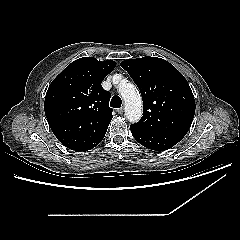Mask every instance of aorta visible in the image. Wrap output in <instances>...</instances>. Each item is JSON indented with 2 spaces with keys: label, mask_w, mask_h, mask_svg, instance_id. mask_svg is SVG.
Wrapping results in <instances>:
<instances>
[{
  "label": "aorta",
  "mask_w": 240,
  "mask_h": 240,
  "mask_svg": "<svg viewBox=\"0 0 240 240\" xmlns=\"http://www.w3.org/2000/svg\"><path fill=\"white\" fill-rule=\"evenodd\" d=\"M118 91L125 102L126 118L132 123L138 122L142 116L143 107L137 88L132 83L125 81L120 83Z\"/></svg>",
  "instance_id": "obj_1"
}]
</instances>
